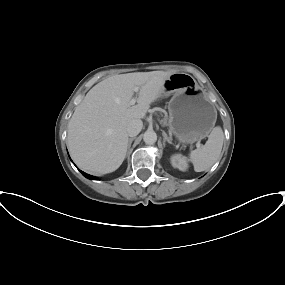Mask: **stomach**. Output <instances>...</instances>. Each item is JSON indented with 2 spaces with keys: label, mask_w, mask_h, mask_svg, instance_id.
<instances>
[{
  "label": "stomach",
  "mask_w": 285,
  "mask_h": 285,
  "mask_svg": "<svg viewBox=\"0 0 285 285\" xmlns=\"http://www.w3.org/2000/svg\"><path fill=\"white\" fill-rule=\"evenodd\" d=\"M169 101V128L179 142L191 144L204 139L211 132L217 111L208 95L199 91L194 78L186 73H174L165 83Z\"/></svg>",
  "instance_id": "1"
}]
</instances>
